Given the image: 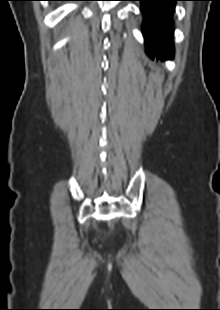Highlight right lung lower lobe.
Masks as SVG:
<instances>
[{
  "label": "right lung lower lobe",
  "instance_id": "right-lung-lower-lobe-1",
  "mask_svg": "<svg viewBox=\"0 0 220 310\" xmlns=\"http://www.w3.org/2000/svg\"><path fill=\"white\" fill-rule=\"evenodd\" d=\"M54 1H62V0H54Z\"/></svg>",
  "mask_w": 220,
  "mask_h": 310
}]
</instances>
